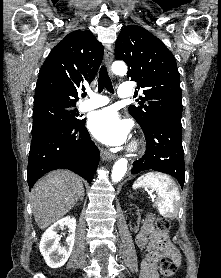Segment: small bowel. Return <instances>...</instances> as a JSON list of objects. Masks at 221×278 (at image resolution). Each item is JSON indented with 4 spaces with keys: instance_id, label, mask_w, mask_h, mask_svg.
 Instances as JSON below:
<instances>
[{
    "instance_id": "c3829d8e",
    "label": "small bowel",
    "mask_w": 221,
    "mask_h": 278,
    "mask_svg": "<svg viewBox=\"0 0 221 278\" xmlns=\"http://www.w3.org/2000/svg\"><path fill=\"white\" fill-rule=\"evenodd\" d=\"M136 244L139 248L146 249L141 265V278H158L156 266L163 256L174 259L177 264L180 263L178 251L168 241L167 234L153 225L151 216L143 220L136 236Z\"/></svg>"
}]
</instances>
